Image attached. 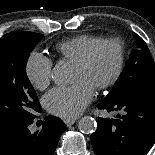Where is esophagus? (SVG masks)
Instances as JSON below:
<instances>
[{"instance_id":"1","label":"esophagus","mask_w":155,"mask_h":155,"mask_svg":"<svg viewBox=\"0 0 155 155\" xmlns=\"http://www.w3.org/2000/svg\"><path fill=\"white\" fill-rule=\"evenodd\" d=\"M75 122H76V119H64V123H65L67 126H71V125H73Z\"/></svg>"}]
</instances>
